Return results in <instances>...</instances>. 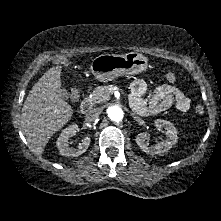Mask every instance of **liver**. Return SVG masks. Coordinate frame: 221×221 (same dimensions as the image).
I'll list each match as a JSON object with an SVG mask.
<instances>
[{
    "label": "liver",
    "mask_w": 221,
    "mask_h": 221,
    "mask_svg": "<svg viewBox=\"0 0 221 221\" xmlns=\"http://www.w3.org/2000/svg\"><path fill=\"white\" fill-rule=\"evenodd\" d=\"M61 66L50 68L30 90L21 113V127L31 150L44 151L49 139L71 118L72 107L60 96Z\"/></svg>",
    "instance_id": "liver-1"
}]
</instances>
